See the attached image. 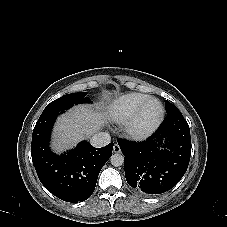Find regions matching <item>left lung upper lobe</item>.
<instances>
[{
    "label": "left lung upper lobe",
    "instance_id": "obj_1",
    "mask_svg": "<svg viewBox=\"0 0 227 227\" xmlns=\"http://www.w3.org/2000/svg\"><path fill=\"white\" fill-rule=\"evenodd\" d=\"M165 106H166V112L167 113L176 107L175 105H173L172 103H170L167 100L165 101Z\"/></svg>",
    "mask_w": 227,
    "mask_h": 227
}]
</instances>
